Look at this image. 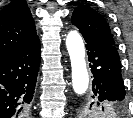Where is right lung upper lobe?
<instances>
[{
    "mask_svg": "<svg viewBox=\"0 0 133 118\" xmlns=\"http://www.w3.org/2000/svg\"><path fill=\"white\" fill-rule=\"evenodd\" d=\"M38 39L25 0H15L0 11V59Z\"/></svg>",
    "mask_w": 133,
    "mask_h": 118,
    "instance_id": "cb5924a9",
    "label": "right lung upper lobe"
}]
</instances>
